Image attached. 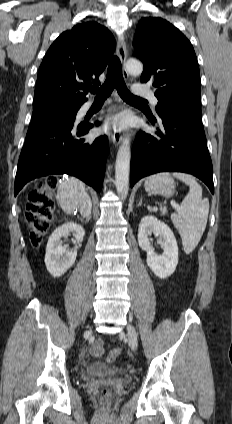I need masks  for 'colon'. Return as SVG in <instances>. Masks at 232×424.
Returning a JSON list of instances; mask_svg holds the SVG:
<instances>
[{"label":"colon","mask_w":232,"mask_h":424,"mask_svg":"<svg viewBox=\"0 0 232 424\" xmlns=\"http://www.w3.org/2000/svg\"><path fill=\"white\" fill-rule=\"evenodd\" d=\"M55 193L51 187L38 185L28 194L26 205V221L30 228V241L32 246L38 247L42 242L43 235L50 229L54 219ZM122 346H117L109 352L108 358L114 360ZM112 395L108 387L100 390V397L104 403H107Z\"/></svg>","instance_id":"colon-1"}]
</instances>
